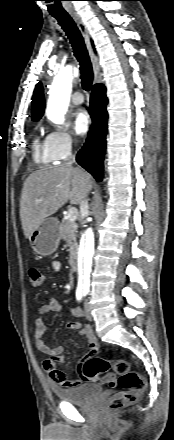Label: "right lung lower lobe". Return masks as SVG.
<instances>
[{"mask_svg": "<svg viewBox=\"0 0 174 440\" xmlns=\"http://www.w3.org/2000/svg\"><path fill=\"white\" fill-rule=\"evenodd\" d=\"M106 105L105 86L95 84L92 88L89 110L93 124L86 143L76 157L78 164L91 173L98 182L103 178V159L106 150L108 116Z\"/></svg>", "mask_w": 174, "mask_h": 440, "instance_id": "1", "label": "right lung lower lobe"}]
</instances>
